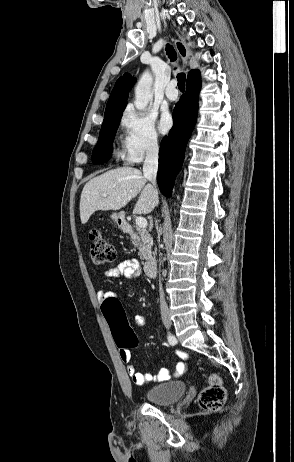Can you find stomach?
<instances>
[{
  "label": "stomach",
  "mask_w": 294,
  "mask_h": 462,
  "mask_svg": "<svg viewBox=\"0 0 294 462\" xmlns=\"http://www.w3.org/2000/svg\"><path fill=\"white\" fill-rule=\"evenodd\" d=\"M110 217L117 224H120L123 222L122 213H112Z\"/></svg>",
  "instance_id": "0dacf381"
}]
</instances>
